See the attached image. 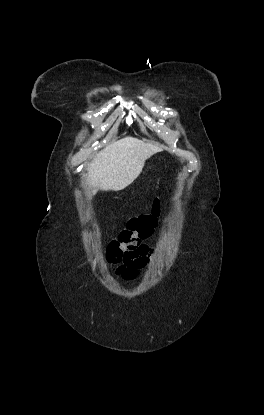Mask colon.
I'll list each match as a JSON object with an SVG mask.
<instances>
[{"mask_svg": "<svg viewBox=\"0 0 264 415\" xmlns=\"http://www.w3.org/2000/svg\"><path fill=\"white\" fill-rule=\"evenodd\" d=\"M159 204L155 202L150 212L132 218L127 226L112 240L106 252L109 264H130L141 244L152 235Z\"/></svg>", "mask_w": 264, "mask_h": 415, "instance_id": "obj_1", "label": "colon"}]
</instances>
